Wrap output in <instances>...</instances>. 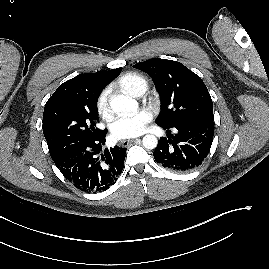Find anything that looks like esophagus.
Wrapping results in <instances>:
<instances>
[{
    "mask_svg": "<svg viewBox=\"0 0 269 269\" xmlns=\"http://www.w3.org/2000/svg\"><path fill=\"white\" fill-rule=\"evenodd\" d=\"M140 141V138H135V139H130V140H123V141H121V145L123 146V147H127L130 143H132V142H139Z\"/></svg>",
    "mask_w": 269,
    "mask_h": 269,
    "instance_id": "1",
    "label": "esophagus"
}]
</instances>
